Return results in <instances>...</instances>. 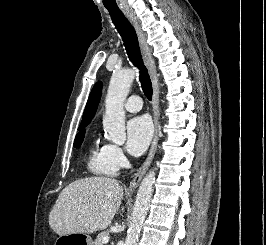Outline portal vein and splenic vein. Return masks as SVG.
Segmentation results:
<instances>
[{
	"label": "portal vein and splenic vein",
	"mask_w": 266,
	"mask_h": 245,
	"mask_svg": "<svg viewBox=\"0 0 266 245\" xmlns=\"http://www.w3.org/2000/svg\"><path fill=\"white\" fill-rule=\"evenodd\" d=\"M109 237H103V243H108Z\"/></svg>",
	"instance_id": "obj_1"
}]
</instances>
